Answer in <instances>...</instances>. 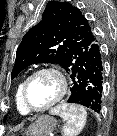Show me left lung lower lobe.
<instances>
[{
  "instance_id": "left-lung-lower-lobe-1",
  "label": "left lung lower lobe",
  "mask_w": 117,
  "mask_h": 136,
  "mask_svg": "<svg viewBox=\"0 0 117 136\" xmlns=\"http://www.w3.org/2000/svg\"><path fill=\"white\" fill-rule=\"evenodd\" d=\"M72 80L68 103H76L99 113L102 103L104 59L101 44L95 39L86 53L80 54L70 72Z\"/></svg>"
}]
</instances>
